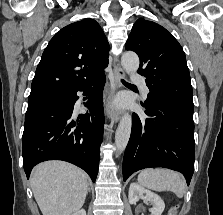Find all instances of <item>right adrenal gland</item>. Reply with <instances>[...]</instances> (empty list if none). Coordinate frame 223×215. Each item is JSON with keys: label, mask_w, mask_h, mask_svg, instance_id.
<instances>
[{"label": "right adrenal gland", "mask_w": 223, "mask_h": 215, "mask_svg": "<svg viewBox=\"0 0 223 215\" xmlns=\"http://www.w3.org/2000/svg\"><path fill=\"white\" fill-rule=\"evenodd\" d=\"M88 191H90V187H88V189H87V193H88Z\"/></svg>", "instance_id": "obj_1"}]
</instances>
